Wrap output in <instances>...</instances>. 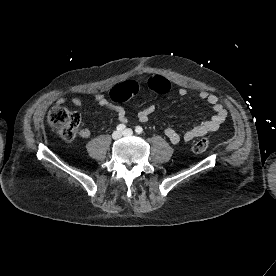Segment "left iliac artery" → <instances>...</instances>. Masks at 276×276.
Here are the masks:
<instances>
[{
  "label": "left iliac artery",
  "instance_id": "left-iliac-artery-1",
  "mask_svg": "<svg viewBox=\"0 0 276 276\" xmlns=\"http://www.w3.org/2000/svg\"><path fill=\"white\" fill-rule=\"evenodd\" d=\"M135 132H136L137 134H141V133L143 132L142 127L137 126V127L135 128Z\"/></svg>",
  "mask_w": 276,
  "mask_h": 276
}]
</instances>
